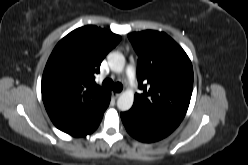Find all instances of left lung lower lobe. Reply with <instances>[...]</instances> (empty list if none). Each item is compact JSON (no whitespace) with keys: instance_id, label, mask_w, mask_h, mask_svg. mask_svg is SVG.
Returning a JSON list of instances; mask_svg holds the SVG:
<instances>
[{"instance_id":"obj_1","label":"left lung lower lobe","mask_w":248,"mask_h":165,"mask_svg":"<svg viewBox=\"0 0 248 165\" xmlns=\"http://www.w3.org/2000/svg\"><path fill=\"white\" fill-rule=\"evenodd\" d=\"M121 119L127 132L142 142L158 141L177 128L174 124L149 116L133 108L121 113Z\"/></svg>"}]
</instances>
